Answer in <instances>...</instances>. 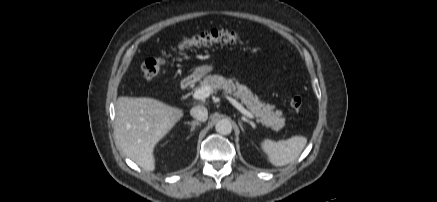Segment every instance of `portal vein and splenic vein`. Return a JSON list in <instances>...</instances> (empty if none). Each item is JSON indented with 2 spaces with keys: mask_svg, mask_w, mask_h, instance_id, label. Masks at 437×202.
Masks as SVG:
<instances>
[{
  "mask_svg": "<svg viewBox=\"0 0 437 202\" xmlns=\"http://www.w3.org/2000/svg\"><path fill=\"white\" fill-rule=\"evenodd\" d=\"M211 93V90L209 87H201L194 91L193 98L195 100H203L207 97H209ZM227 99L235 106L243 115L247 116L250 119H254V115L250 113L248 110H246L239 102H237L235 99L227 96Z\"/></svg>",
  "mask_w": 437,
  "mask_h": 202,
  "instance_id": "obj_1",
  "label": "portal vein and splenic vein"
}]
</instances>
